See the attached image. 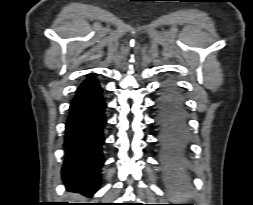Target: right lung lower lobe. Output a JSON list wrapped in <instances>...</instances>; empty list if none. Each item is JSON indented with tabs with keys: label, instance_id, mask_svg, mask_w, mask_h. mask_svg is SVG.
Here are the masks:
<instances>
[{
	"label": "right lung lower lobe",
	"instance_id": "1",
	"mask_svg": "<svg viewBox=\"0 0 253 205\" xmlns=\"http://www.w3.org/2000/svg\"><path fill=\"white\" fill-rule=\"evenodd\" d=\"M100 82L92 74L78 88L66 123L62 179L68 188L92 196L100 185L106 108Z\"/></svg>",
	"mask_w": 253,
	"mask_h": 205
}]
</instances>
